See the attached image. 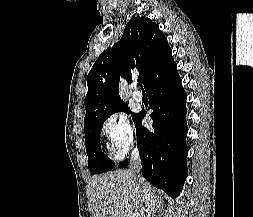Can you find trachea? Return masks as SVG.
I'll use <instances>...</instances> for the list:
<instances>
[{"instance_id": "3493384b", "label": "trachea", "mask_w": 253, "mask_h": 217, "mask_svg": "<svg viewBox=\"0 0 253 217\" xmlns=\"http://www.w3.org/2000/svg\"><path fill=\"white\" fill-rule=\"evenodd\" d=\"M138 85H142V82H141V80H138ZM142 90H143V88H142Z\"/></svg>"}]
</instances>
